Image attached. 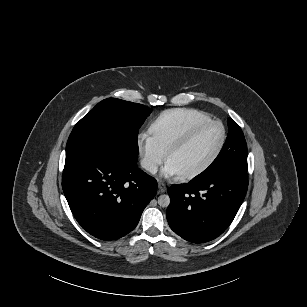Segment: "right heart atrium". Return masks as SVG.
I'll return each instance as SVG.
<instances>
[{
    "instance_id": "d8ad5b80",
    "label": "right heart atrium",
    "mask_w": 307,
    "mask_h": 307,
    "mask_svg": "<svg viewBox=\"0 0 307 307\" xmlns=\"http://www.w3.org/2000/svg\"><path fill=\"white\" fill-rule=\"evenodd\" d=\"M137 151L144 169L151 174L156 173L164 161V152L154 139L140 133L137 137Z\"/></svg>"
}]
</instances>
